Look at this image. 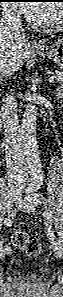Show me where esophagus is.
<instances>
[{"label":"esophagus","mask_w":63,"mask_h":297,"mask_svg":"<svg viewBox=\"0 0 63 297\" xmlns=\"http://www.w3.org/2000/svg\"><path fill=\"white\" fill-rule=\"evenodd\" d=\"M32 46L35 48L43 47V45L40 42H38L36 39L32 41Z\"/></svg>","instance_id":"esophagus-1"}]
</instances>
